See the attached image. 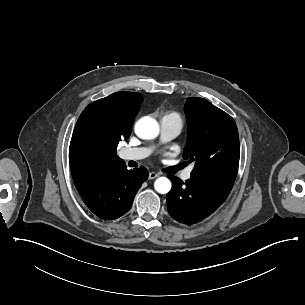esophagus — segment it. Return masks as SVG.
Instances as JSON below:
<instances>
[{"mask_svg": "<svg viewBox=\"0 0 305 305\" xmlns=\"http://www.w3.org/2000/svg\"><path fill=\"white\" fill-rule=\"evenodd\" d=\"M159 175L155 172H150L149 173V179L152 180V179H155L157 178Z\"/></svg>", "mask_w": 305, "mask_h": 305, "instance_id": "esophagus-1", "label": "esophagus"}]
</instances>
